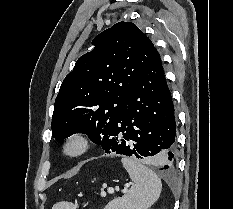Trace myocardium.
Wrapping results in <instances>:
<instances>
[{
    "instance_id": "myocardium-1",
    "label": "myocardium",
    "mask_w": 233,
    "mask_h": 209,
    "mask_svg": "<svg viewBox=\"0 0 233 209\" xmlns=\"http://www.w3.org/2000/svg\"><path fill=\"white\" fill-rule=\"evenodd\" d=\"M90 146L89 137L83 132H73L66 136L62 143V153L68 158L83 155Z\"/></svg>"
}]
</instances>
